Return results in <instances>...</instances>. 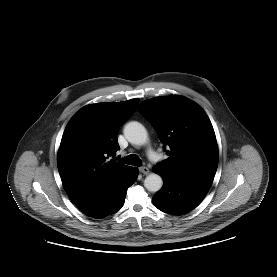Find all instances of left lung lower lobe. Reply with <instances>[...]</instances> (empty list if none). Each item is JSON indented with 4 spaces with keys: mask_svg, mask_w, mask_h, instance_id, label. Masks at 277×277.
I'll return each mask as SVG.
<instances>
[{
    "mask_svg": "<svg viewBox=\"0 0 277 277\" xmlns=\"http://www.w3.org/2000/svg\"><path fill=\"white\" fill-rule=\"evenodd\" d=\"M153 170L163 178L164 186L155 194L152 201L163 212L181 215L194 209L210 189L209 184L185 181L164 175L154 167Z\"/></svg>",
    "mask_w": 277,
    "mask_h": 277,
    "instance_id": "left-lung-lower-lobe-1",
    "label": "left lung lower lobe"
}]
</instances>
